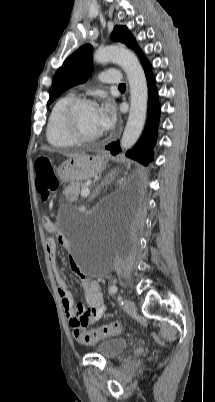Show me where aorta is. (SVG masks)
Here are the masks:
<instances>
[{"instance_id":"1","label":"aorta","mask_w":215,"mask_h":402,"mask_svg":"<svg viewBox=\"0 0 215 402\" xmlns=\"http://www.w3.org/2000/svg\"><path fill=\"white\" fill-rule=\"evenodd\" d=\"M97 63L113 61L125 71L130 86V112L121 139V148L130 149L138 140L146 119L148 90L145 73L137 57L129 50L110 46L94 54Z\"/></svg>"}]
</instances>
